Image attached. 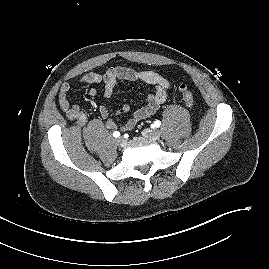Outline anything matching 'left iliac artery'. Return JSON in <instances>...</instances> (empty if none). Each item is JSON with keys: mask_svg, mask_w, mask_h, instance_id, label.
Masks as SVG:
<instances>
[{"mask_svg": "<svg viewBox=\"0 0 269 269\" xmlns=\"http://www.w3.org/2000/svg\"><path fill=\"white\" fill-rule=\"evenodd\" d=\"M161 125V122L159 120H156L154 122V127H159Z\"/></svg>", "mask_w": 269, "mask_h": 269, "instance_id": "1", "label": "left iliac artery"}]
</instances>
